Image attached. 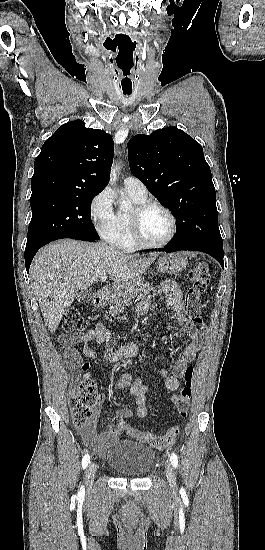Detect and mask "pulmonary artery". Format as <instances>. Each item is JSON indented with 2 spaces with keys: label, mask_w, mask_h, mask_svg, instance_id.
Listing matches in <instances>:
<instances>
[{
  "label": "pulmonary artery",
  "mask_w": 265,
  "mask_h": 550,
  "mask_svg": "<svg viewBox=\"0 0 265 550\" xmlns=\"http://www.w3.org/2000/svg\"><path fill=\"white\" fill-rule=\"evenodd\" d=\"M124 186L126 191L138 194L140 196L147 195V189L144 183L138 178L129 176L124 180Z\"/></svg>",
  "instance_id": "pulmonary-artery-1"
}]
</instances>
